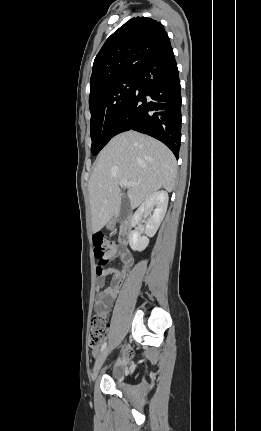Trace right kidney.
Listing matches in <instances>:
<instances>
[{
  "instance_id": "ca27d5eb",
  "label": "right kidney",
  "mask_w": 261,
  "mask_h": 431,
  "mask_svg": "<svg viewBox=\"0 0 261 431\" xmlns=\"http://www.w3.org/2000/svg\"><path fill=\"white\" fill-rule=\"evenodd\" d=\"M168 194L165 191H158L148 196L138 210L135 212L132 218L133 225H136L144 215L150 214L153 207L154 212L150 215L146 221L145 235L141 236L139 230H133L129 235V244L132 250L142 251L149 244V237H153L157 232L168 206Z\"/></svg>"
}]
</instances>
